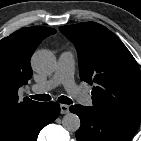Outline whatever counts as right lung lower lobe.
Returning <instances> with one entry per match:
<instances>
[{
    "instance_id": "1",
    "label": "right lung lower lobe",
    "mask_w": 141,
    "mask_h": 141,
    "mask_svg": "<svg viewBox=\"0 0 141 141\" xmlns=\"http://www.w3.org/2000/svg\"><path fill=\"white\" fill-rule=\"evenodd\" d=\"M60 113L56 102L38 103L0 131V141H37L40 130Z\"/></svg>"
}]
</instances>
